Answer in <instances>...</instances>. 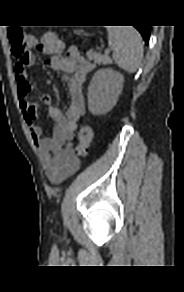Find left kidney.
<instances>
[{
  "label": "left kidney",
  "instance_id": "5707ae66",
  "mask_svg": "<svg viewBox=\"0 0 184 292\" xmlns=\"http://www.w3.org/2000/svg\"><path fill=\"white\" fill-rule=\"evenodd\" d=\"M124 77L112 69L98 70L88 87V109L93 115L108 113L122 91Z\"/></svg>",
  "mask_w": 184,
  "mask_h": 292
}]
</instances>
